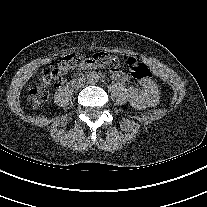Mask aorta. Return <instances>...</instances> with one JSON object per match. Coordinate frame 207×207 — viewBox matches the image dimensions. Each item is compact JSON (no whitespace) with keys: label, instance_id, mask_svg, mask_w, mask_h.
Returning <instances> with one entry per match:
<instances>
[{"label":"aorta","instance_id":"762f6f07","mask_svg":"<svg viewBox=\"0 0 207 207\" xmlns=\"http://www.w3.org/2000/svg\"><path fill=\"white\" fill-rule=\"evenodd\" d=\"M88 82L91 84H96L99 80V75L96 72H91L87 76Z\"/></svg>","mask_w":207,"mask_h":207}]
</instances>
